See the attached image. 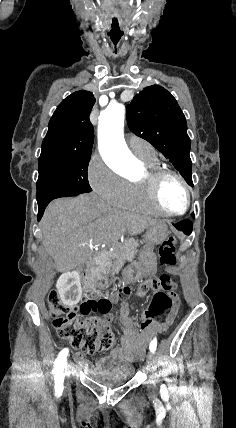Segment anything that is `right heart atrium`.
I'll use <instances>...</instances> for the list:
<instances>
[{
  "instance_id": "right-heart-atrium-1",
  "label": "right heart atrium",
  "mask_w": 236,
  "mask_h": 428,
  "mask_svg": "<svg viewBox=\"0 0 236 428\" xmlns=\"http://www.w3.org/2000/svg\"><path fill=\"white\" fill-rule=\"evenodd\" d=\"M88 182L100 200H106L107 206H123L128 193V182L117 175L99 156L90 160Z\"/></svg>"
}]
</instances>
